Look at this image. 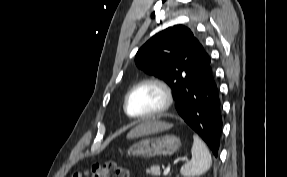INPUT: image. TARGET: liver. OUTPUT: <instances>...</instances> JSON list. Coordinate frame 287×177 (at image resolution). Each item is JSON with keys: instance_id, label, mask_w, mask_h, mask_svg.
I'll return each instance as SVG.
<instances>
[{"instance_id": "obj_1", "label": "liver", "mask_w": 287, "mask_h": 177, "mask_svg": "<svg viewBox=\"0 0 287 177\" xmlns=\"http://www.w3.org/2000/svg\"><path fill=\"white\" fill-rule=\"evenodd\" d=\"M172 127L171 124L163 123V122H158V121H147L144 122L137 127H135L133 130H131L127 134V139H132L138 136H142L145 134H150L158 131H163L170 129Z\"/></svg>"}]
</instances>
